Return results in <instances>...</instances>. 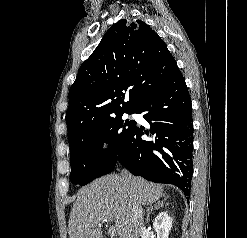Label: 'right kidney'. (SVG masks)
Masks as SVG:
<instances>
[{"instance_id": "right-kidney-1", "label": "right kidney", "mask_w": 247, "mask_h": 238, "mask_svg": "<svg viewBox=\"0 0 247 238\" xmlns=\"http://www.w3.org/2000/svg\"><path fill=\"white\" fill-rule=\"evenodd\" d=\"M172 221L173 219L168 215L167 211H163L157 215L153 222V228L157 234V238H168Z\"/></svg>"}]
</instances>
